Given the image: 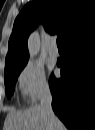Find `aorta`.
I'll return each mask as SVG.
<instances>
[{
	"instance_id": "obj_1",
	"label": "aorta",
	"mask_w": 95,
	"mask_h": 130,
	"mask_svg": "<svg viewBox=\"0 0 95 130\" xmlns=\"http://www.w3.org/2000/svg\"><path fill=\"white\" fill-rule=\"evenodd\" d=\"M29 56L34 57L38 52V35L36 33L31 34L28 40Z\"/></svg>"
}]
</instances>
